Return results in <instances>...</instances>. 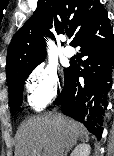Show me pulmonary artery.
Listing matches in <instances>:
<instances>
[{"mask_svg": "<svg viewBox=\"0 0 114 156\" xmlns=\"http://www.w3.org/2000/svg\"><path fill=\"white\" fill-rule=\"evenodd\" d=\"M62 51L66 57H72L74 55V49L70 46H65Z\"/></svg>", "mask_w": 114, "mask_h": 156, "instance_id": "pulmonary-artery-1", "label": "pulmonary artery"}]
</instances>
